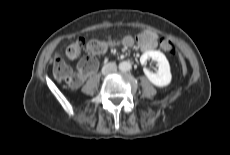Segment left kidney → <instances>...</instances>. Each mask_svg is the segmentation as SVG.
Here are the masks:
<instances>
[{"mask_svg": "<svg viewBox=\"0 0 230 155\" xmlns=\"http://www.w3.org/2000/svg\"><path fill=\"white\" fill-rule=\"evenodd\" d=\"M148 59L157 61L158 66L157 73H152L149 70L144 69L145 75L149 81L157 87L168 86L171 82L172 75L166 56L160 51H146L140 57L141 64L146 65Z\"/></svg>", "mask_w": 230, "mask_h": 155, "instance_id": "5707ae66", "label": "left kidney"}]
</instances>
